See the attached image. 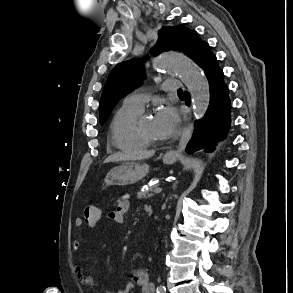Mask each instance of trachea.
I'll return each mask as SVG.
<instances>
[{"mask_svg":"<svg viewBox=\"0 0 293 293\" xmlns=\"http://www.w3.org/2000/svg\"><path fill=\"white\" fill-rule=\"evenodd\" d=\"M178 93H183L182 90H179Z\"/></svg>","mask_w":293,"mask_h":293,"instance_id":"obj_1","label":"trachea"}]
</instances>
